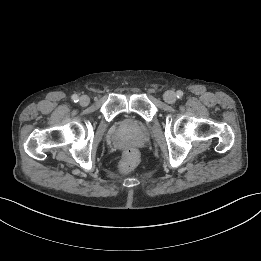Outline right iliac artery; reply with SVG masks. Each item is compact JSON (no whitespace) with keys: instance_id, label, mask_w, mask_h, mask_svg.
Listing matches in <instances>:
<instances>
[{"instance_id":"right-iliac-artery-1","label":"right iliac artery","mask_w":261,"mask_h":261,"mask_svg":"<svg viewBox=\"0 0 261 261\" xmlns=\"http://www.w3.org/2000/svg\"><path fill=\"white\" fill-rule=\"evenodd\" d=\"M72 100L76 103V102L79 101V98H78V96H77L76 94H74V95L72 96Z\"/></svg>"}]
</instances>
